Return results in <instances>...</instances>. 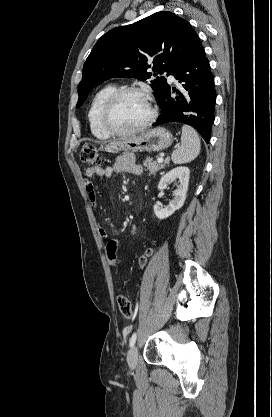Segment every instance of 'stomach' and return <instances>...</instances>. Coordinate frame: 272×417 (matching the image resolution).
<instances>
[{"mask_svg": "<svg viewBox=\"0 0 272 417\" xmlns=\"http://www.w3.org/2000/svg\"><path fill=\"white\" fill-rule=\"evenodd\" d=\"M172 143L173 135L164 127H156L130 138L110 143L105 147V150L111 153L122 150L159 152L170 147Z\"/></svg>", "mask_w": 272, "mask_h": 417, "instance_id": "0dacf381", "label": "stomach"}]
</instances>
